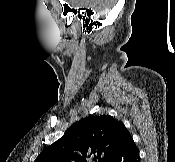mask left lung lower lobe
<instances>
[{
    "label": "left lung lower lobe",
    "mask_w": 175,
    "mask_h": 162,
    "mask_svg": "<svg viewBox=\"0 0 175 162\" xmlns=\"http://www.w3.org/2000/svg\"><path fill=\"white\" fill-rule=\"evenodd\" d=\"M109 162H140L138 149L129 132L124 134Z\"/></svg>",
    "instance_id": "left-lung-lower-lobe-1"
}]
</instances>
